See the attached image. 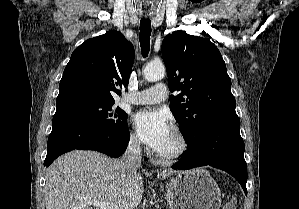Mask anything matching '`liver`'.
Returning a JSON list of instances; mask_svg holds the SVG:
<instances>
[{"instance_id":"1","label":"liver","mask_w":299,"mask_h":209,"mask_svg":"<svg viewBox=\"0 0 299 209\" xmlns=\"http://www.w3.org/2000/svg\"><path fill=\"white\" fill-rule=\"evenodd\" d=\"M175 173L165 170L163 179ZM142 176L128 175L121 161L95 151L75 150L60 156L47 169L46 209H92L91 201L114 202L135 209L143 196Z\"/></svg>"}]
</instances>
